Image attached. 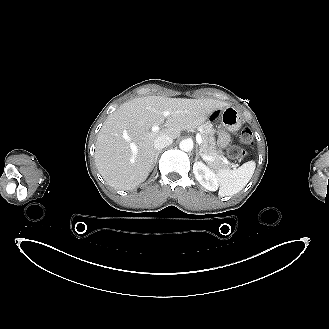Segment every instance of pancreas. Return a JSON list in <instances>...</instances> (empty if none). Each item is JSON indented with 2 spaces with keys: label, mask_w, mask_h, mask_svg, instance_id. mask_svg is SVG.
Wrapping results in <instances>:
<instances>
[{
  "label": "pancreas",
  "mask_w": 329,
  "mask_h": 329,
  "mask_svg": "<svg viewBox=\"0 0 329 329\" xmlns=\"http://www.w3.org/2000/svg\"><path fill=\"white\" fill-rule=\"evenodd\" d=\"M201 136L202 144L199 147V152L203 156L212 157L213 160H207L211 167H225L226 164L223 162L224 156L221 150L216 148L215 143V130L207 124L201 125Z\"/></svg>",
  "instance_id": "obj_1"
}]
</instances>
